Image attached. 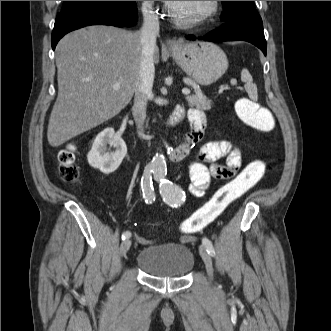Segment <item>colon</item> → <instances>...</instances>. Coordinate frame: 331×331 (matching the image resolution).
<instances>
[{"mask_svg":"<svg viewBox=\"0 0 331 331\" xmlns=\"http://www.w3.org/2000/svg\"><path fill=\"white\" fill-rule=\"evenodd\" d=\"M236 112L246 125L255 130L270 132L275 128L274 117L269 109L249 98H241L237 101ZM58 161L61 177L67 182H76L79 178V170L75 164L74 150L70 147L62 150L58 155ZM265 170L262 161H253L218 189L209 201L182 223L181 228L186 235L184 240H191V234L219 218L233 202L262 180Z\"/></svg>","mask_w":331,"mask_h":331,"instance_id":"5ec220e1","label":"colon"}]
</instances>
